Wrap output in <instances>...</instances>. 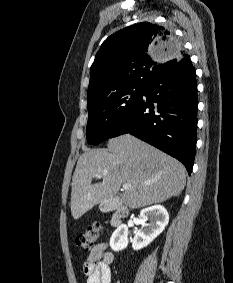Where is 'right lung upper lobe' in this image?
<instances>
[{
	"label": "right lung upper lobe",
	"mask_w": 233,
	"mask_h": 283,
	"mask_svg": "<svg viewBox=\"0 0 233 283\" xmlns=\"http://www.w3.org/2000/svg\"><path fill=\"white\" fill-rule=\"evenodd\" d=\"M163 26L141 22L109 36L90 68L88 106L130 86H145L174 66L189 50H181Z\"/></svg>",
	"instance_id": "obj_1"
}]
</instances>
